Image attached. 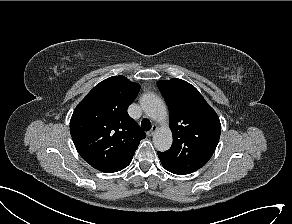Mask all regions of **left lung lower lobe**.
Wrapping results in <instances>:
<instances>
[{
	"mask_svg": "<svg viewBox=\"0 0 292 224\" xmlns=\"http://www.w3.org/2000/svg\"><path fill=\"white\" fill-rule=\"evenodd\" d=\"M163 167H164L167 171H169V172H171V173L178 174V175H185V174L180 173V172H178V171L172 170V169H170L169 167H167V166H165V165H163Z\"/></svg>",
	"mask_w": 292,
	"mask_h": 224,
	"instance_id": "left-lung-lower-lobe-1",
	"label": "left lung lower lobe"
}]
</instances>
